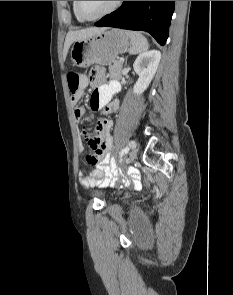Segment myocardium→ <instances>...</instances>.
I'll use <instances>...</instances> for the list:
<instances>
[{
  "label": "myocardium",
  "instance_id": "obj_1",
  "mask_svg": "<svg viewBox=\"0 0 233 295\" xmlns=\"http://www.w3.org/2000/svg\"><path fill=\"white\" fill-rule=\"evenodd\" d=\"M123 1H115L114 4L108 9L106 10L105 12L97 15V16H93V17H87V16H84L81 11H80V6H79V1H74V8H75V12L76 14L78 15V17L80 19H82L83 21H95L97 19H100V18H103L107 15H110L111 13L115 12L119 7L120 5L122 4Z\"/></svg>",
  "mask_w": 233,
  "mask_h": 295
}]
</instances>
